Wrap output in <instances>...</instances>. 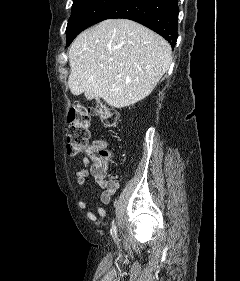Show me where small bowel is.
Returning <instances> with one entry per match:
<instances>
[{
	"label": "small bowel",
	"instance_id": "small-bowel-1",
	"mask_svg": "<svg viewBox=\"0 0 240 281\" xmlns=\"http://www.w3.org/2000/svg\"><path fill=\"white\" fill-rule=\"evenodd\" d=\"M83 162H84V165L86 167L84 169H81V170H79V171H77L75 173L76 183L78 185H84L86 183V181H87V178L90 177L92 182L97 184L103 190L101 195H100V201L104 205L109 204L110 201H111L112 195L117 190V183H116V181L113 180V179L107 178L106 173H104V174L97 173L93 168H91L89 170L87 168V166L89 164V159L88 158H84ZM78 206L81 209H87L88 208V204L86 202H84V201H79L78 202ZM94 210H95V212L100 217H105L106 216V212H105V210L102 207H95ZM88 218L91 221H96L97 220V216H96V214H94L93 211H89L88 212Z\"/></svg>",
	"mask_w": 240,
	"mask_h": 281
}]
</instances>
